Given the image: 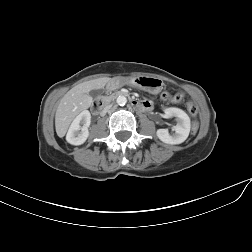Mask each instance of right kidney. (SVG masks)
Returning a JSON list of instances; mask_svg holds the SVG:
<instances>
[{"mask_svg": "<svg viewBox=\"0 0 252 252\" xmlns=\"http://www.w3.org/2000/svg\"><path fill=\"white\" fill-rule=\"evenodd\" d=\"M91 123V114L88 110H83L75 117L66 135V140L72 145L83 144L88 136V127Z\"/></svg>", "mask_w": 252, "mask_h": 252, "instance_id": "right-kidney-1", "label": "right kidney"}]
</instances>
